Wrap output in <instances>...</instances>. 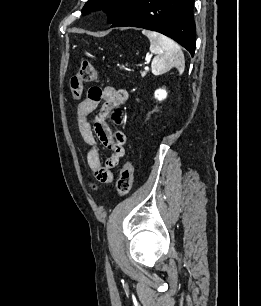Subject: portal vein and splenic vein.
Returning a JSON list of instances; mask_svg holds the SVG:
<instances>
[{"mask_svg": "<svg viewBox=\"0 0 261 306\" xmlns=\"http://www.w3.org/2000/svg\"><path fill=\"white\" fill-rule=\"evenodd\" d=\"M146 71H148L149 70V66L147 65V66H145V68H144Z\"/></svg>", "mask_w": 261, "mask_h": 306, "instance_id": "18ae733b", "label": "portal vein and splenic vein"}]
</instances>
